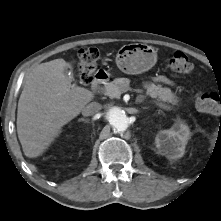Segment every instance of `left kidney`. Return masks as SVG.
Instances as JSON below:
<instances>
[{
    "label": "left kidney",
    "instance_id": "left-kidney-1",
    "mask_svg": "<svg viewBox=\"0 0 221 221\" xmlns=\"http://www.w3.org/2000/svg\"><path fill=\"white\" fill-rule=\"evenodd\" d=\"M190 137L189 127L182 121H177L169 130H161L156 138V147L161 155L168 159L181 158Z\"/></svg>",
    "mask_w": 221,
    "mask_h": 221
}]
</instances>
